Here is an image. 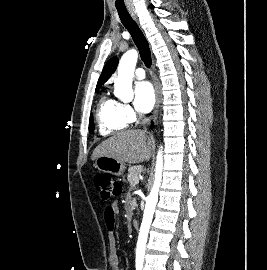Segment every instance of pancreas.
Here are the masks:
<instances>
[{
	"instance_id": "pancreas-1",
	"label": "pancreas",
	"mask_w": 267,
	"mask_h": 270,
	"mask_svg": "<svg viewBox=\"0 0 267 270\" xmlns=\"http://www.w3.org/2000/svg\"><path fill=\"white\" fill-rule=\"evenodd\" d=\"M143 171V167L141 165L132 166L128 170V182L130 183L131 188L133 189L135 187V180L139 177L141 172Z\"/></svg>"
}]
</instances>
